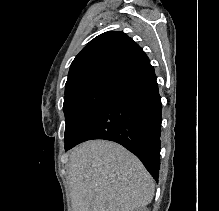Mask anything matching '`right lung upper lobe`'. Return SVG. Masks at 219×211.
Returning a JSON list of instances; mask_svg holds the SVG:
<instances>
[{
  "mask_svg": "<svg viewBox=\"0 0 219 211\" xmlns=\"http://www.w3.org/2000/svg\"><path fill=\"white\" fill-rule=\"evenodd\" d=\"M150 64L142 48L123 32H105L90 41L73 60L65 98L97 85L116 86Z\"/></svg>",
  "mask_w": 219,
  "mask_h": 211,
  "instance_id": "1",
  "label": "right lung upper lobe"
}]
</instances>
